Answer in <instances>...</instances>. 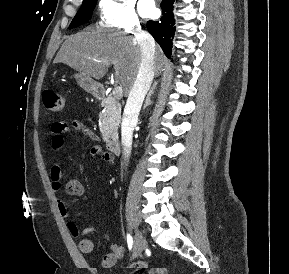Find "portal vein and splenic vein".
<instances>
[{"label": "portal vein and splenic vein", "mask_w": 289, "mask_h": 274, "mask_svg": "<svg viewBox=\"0 0 289 274\" xmlns=\"http://www.w3.org/2000/svg\"><path fill=\"white\" fill-rule=\"evenodd\" d=\"M113 95L115 98H121L123 95V89L121 85H116L113 89Z\"/></svg>", "instance_id": "1"}]
</instances>
